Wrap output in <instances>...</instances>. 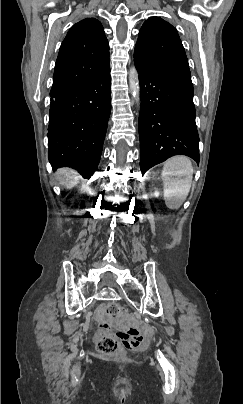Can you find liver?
Wrapping results in <instances>:
<instances>
[{"label": "liver", "instance_id": "1", "mask_svg": "<svg viewBox=\"0 0 243 404\" xmlns=\"http://www.w3.org/2000/svg\"><path fill=\"white\" fill-rule=\"evenodd\" d=\"M61 174H70V176H65V178H68L69 182H64V184H67L68 188H73V186H76V184H78V180H80V176H77L76 172L67 170V168L61 170Z\"/></svg>", "mask_w": 243, "mask_h": 404}]
</instances>
